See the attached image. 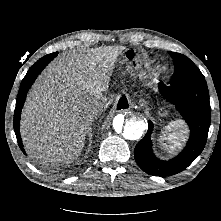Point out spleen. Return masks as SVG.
Returning <instances> with one entry per match:
<instances>
[{
    "instance_id": "obj_1",
    "label": "spleen",
    "mask_w": 221,
    "mask_h": 221,
    "mask_svg": "<svg viewBox=\"0 0 221 221\" xmlns=\"http://www.w3.org/2000/svg\"><path fill=\"white\" fill-rule=\"evenodd\" d=\"M183 125V121L176 120L167 126L166 131L161 136L162 141H167V143H162L165 149L172 152L178 146H180L181 141L184 140L185 128Z\"/></svg>"
}]
</instances>
